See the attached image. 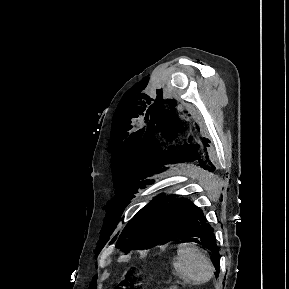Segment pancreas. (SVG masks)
Wrapping results in <instances>:
<instances>
[{
    "label": "pancreas",
    "mask_w": 289,
    "mask_h": 289,
    "mask_svg": "<svg viewBox=\"0 0 289 289\" xmlns=\"http://www.w3.org/2000/svg\"><path fill=\"white\" fill-rule=\"evenodd\" d=\"M169 289H177V287L176 286H172Z\"/></svg>",
    "instance_id": "pancreas-1"
}]
</instances>
